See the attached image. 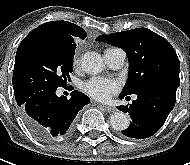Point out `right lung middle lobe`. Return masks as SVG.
Here are the masks:
<instances>
[{
  "label": "right lung middle lobe",
  "instance_id": "dd1d6c3e",
  "mask_svg": "<svg viewBox=\"0 0 190 165\" xmlns=\"http://www.w3.org/2000/svg\"><path fill=\"white\" fill-rule=\"evenodd\" d=\"M76 43L65 37L31 31L18 47L13 71L16 101L57 89L70 79Z\"/></svg>",
  "mask_w": 190,
  "mask_h": 165
}]
</instances>
